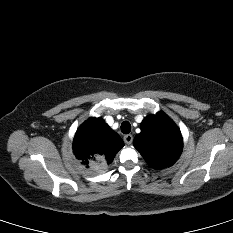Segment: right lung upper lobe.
Segmentation results:
<instances>
[{
  "label": "right lung upper lobe",
  "mask_w": 233,
  "mask_h": 233,
  "mask_svg": "<svg viewBox=\"0 0 233 233\" xmlns=\"http://www.w3.org/2000/svg\"><path fill=\"white\" fill-rule=\"evenodd\" d=\"M124 146L122 139L102 118H89L77 130L73 150L85 168L102 171L113 162L117 152Z\"/></svg>",
  "instance_id": "1"
}]
</instances>
